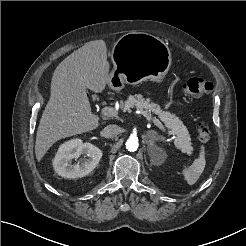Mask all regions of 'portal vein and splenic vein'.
I'll list each match as a JSON object with an SVG mask.
<instances>
[{
  "instance_id": "18ae733b",
  "label": "portal vein and splenic vein",
  "mask_w": 246,
  "mask_h": 246,
  "mask_svg": "<svg viewBox=\"0 0 246 246\" xmlns=\"http://www.w3.org/2000/svg\"><path fill=\"white\" fill-rule=\"evenodd\" d=\"M102 114L107 117H117L119 112L113 107H104L102 109ZM148 119H151L156 126H158L161 130H164V126L158 119L152 118L151 116Z\"/></svg>"
}]
</instances>
